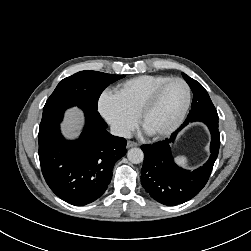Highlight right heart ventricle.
<instances>
[{
  "mask_svg": "<svg viewBox=\"0 0 251 251\" xmlns=\"http://www.w3.org/2000/svg\"><path fill=\"white\" fill-rule=\"evenodd\" d=\"M167 75H141L117 85L115 93L122 103L135 115L151 92L170 79Z\"/></svg>",
  "mask_w": 251,
  "mask_h": 251,
  "instance_id": "e07e8e85",
  "label": "right heart ventricle"
}]
</instances>
